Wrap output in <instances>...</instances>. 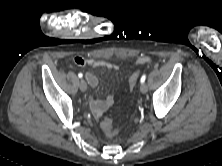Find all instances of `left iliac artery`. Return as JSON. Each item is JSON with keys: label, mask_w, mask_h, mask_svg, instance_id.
<instances>
[{"label": "left iliac artery", "mask_w": 222, "mask_h": 166, "mask_svg": "<svg viewBox=\"0 0 222 166\" xmlns=\"http://www.w3.org/2000/svg\"><path fill=\"white\" fill-rule=\"evenodd\" d=\"M145 80H146V75H145V74H143V75H142V77H141V79H140V82H141V83H144V82H145Z\"/></svg>", "instance_id": "1"}]
</instances>
